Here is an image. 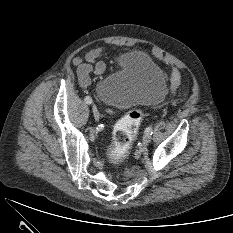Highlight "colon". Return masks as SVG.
I'll return each mask as SVG.
<instances>
[{"instance_id":"5ec220e1","label":"colon","mask_w":233,"mask_h":233,"mask_svg":"<svg viewBox=\"0 0 233 233\" xmlns=\"http://www.w3.org/2000/svg\"><path fill=\"white\" fill-rule=\"evenodd\" d=\"M143 119L138 109L130 110L115 126L110 158L117 162L128 152Z\"/></svg>"}]
</instances>
